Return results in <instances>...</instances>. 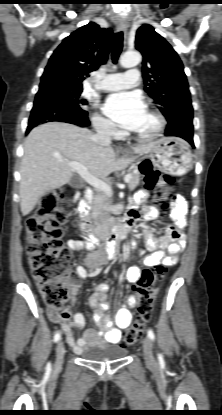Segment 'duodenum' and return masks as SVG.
<instances>
[{
	"instance_id": "obj_1",
	"label": "duodenum",
	"mask_w": 222,
	"mask_h": 415,
	"mask_svg": "<svg viewBox=\"0 0 222 415\" xmlns=\"http://www.w3.org/2000/svg\"><path fill=\"white\" fill-rule=\"evenodd\" d=\"M92 193L90 189L84 190V196L81 199L78 210L80 215L85 219L90 214V203ZM133 219L125 217L121 221L115 222L110 228H101L95 226L92 229V236L89 238V247H94L99 241L103 242L107 250L112 255L118 247V242L124 238L133 226ZM83 226L89 230L90 224L86 221L83 222Z\"/></svg>"
}]
</instances>
